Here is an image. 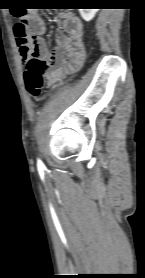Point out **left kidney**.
Returning <instances> with one entry per match:
<instances>
[{"label": "left kidney", "mask_w": 145, "mask_h": 278, "mask_svg": "<svg viewBox=\"0 0 145 278\" xmlns=\"http://www.w3.org/2000/svg\"><path fill=\"white\" fill-rule=\"evenodd\" d=\"M97 11H99V9H79L80 15L85 21L92 20Z\"/></svg>", "instance_id": "left-kidney-1"}]
</instances>
